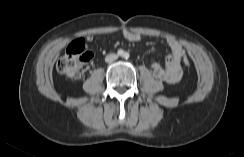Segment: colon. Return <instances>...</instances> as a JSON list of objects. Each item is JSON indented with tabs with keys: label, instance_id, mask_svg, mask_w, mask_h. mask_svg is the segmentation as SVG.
<instances>
[{
	"label": "colon",
	"instance_id": "colon-1",
	"mask_svg": "<svg viewBox=\"0 0 244 157\" xmlns=\"http://www.w3.org/2000/svg\"><path fill=\"white\" fill-rule=\"evenodd\" d=\"M93 53L85 46L82 39H76L70 43L64 55L57 62V70L60 74L70 80H79L82 74V67L91 60ZM183 63L189 67L191 64L188 56L183 57Z\"/></svg>",
	"mask_w": 244,
	"mask_h": 157
}]
</instances>
